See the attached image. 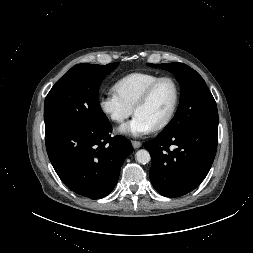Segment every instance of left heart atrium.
<instances>
[{"instance_id": "1", "label": "left heart atrium", "mask_w": 253, "mask_h": 253, "mask_svg": "<svg viewBox=\"0 0 253 253\" xmlns=\"http://www.w3.org/2000/svg\"><path fill=\"white\" fill-rule=\"evenodd\" d=\"M119 131L127 135L140 137L152 132L153 127L141 116L135 114L134 118L130 122L119 128Z\"/></svg>"}]
</instances>
